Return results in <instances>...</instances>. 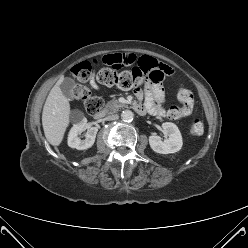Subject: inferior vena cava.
Masks as SVG:
<instances>
[{
    "label": "inferior vena cava",
    "mask_w": 248,
    "mask_h": 248,
    "mask_svg": "<svg viewBox=\"0 0 248 248\" xmlns=\"http://www.w3.org/2000/svg\"><path fill=\"white\" fill-rule=\"evenodd\" d=\"M118 118L119 116L117 114H112V115L107 116L105 119L108 121H111V120H117Z\"/></svg>",
    "instance_id": "inferior-vena-cava-1"
}]
</instances>
